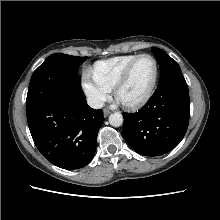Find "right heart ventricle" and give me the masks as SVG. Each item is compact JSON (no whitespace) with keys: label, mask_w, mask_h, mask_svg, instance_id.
Instances as JSON below:
<instances>
[{"label":"right heart ventricle","mask_w":220,"mask_h":220,"mask_svg":"<svg viewBox=\"0 0 220 220\" xmlns=\"http://www.w3.org/2000/svg\"><path fill=\"white\" fill-rule=\"evenodd\" d=\"M137 56L138 54L122 55L98 61L94 64L93 74L99 82L112 89Z\"/></svg>","instance_id":"e07e8e85"}]
</instances>
